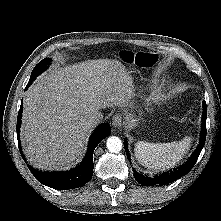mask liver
Listing matches in <instances>:
<instances>
[{"label":"liver","mask_w":221,"mask_h":221,"mask_svg":"<svg viewBox=\"0 0 221 221\" xmlns=\"http://www.w3.org/2000/svg\"><path fill=\"white\" fill-rule=\"evenodd\" d=\"M133 90L132 77L117 60H87L42 74L25 93V155L36 168L68 170L86 151L89 118L101 109L127 106Z\"/></svg>","instance_id":"1"}]
</instances>
